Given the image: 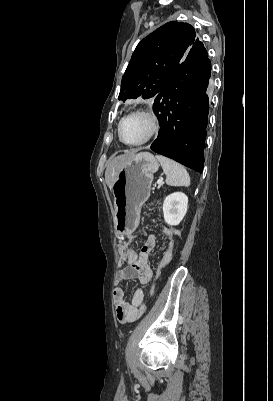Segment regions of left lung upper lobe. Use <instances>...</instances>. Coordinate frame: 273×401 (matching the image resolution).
<instances>
[{"instance_id":"left-lung-upper-lobe-1","label":"left lung upper lobe","mask_w":273,"mask_h":401,"mask_svg":"<svg viewBox=\"0 0 273 401\" xmlns=\"http://www.w3.org/2000/svg\"><path fill=\"white\" fill-rule=\"evenodd\" d=\"M196 40L194 28L177 21L168 22L145 37L136 47L122 77L118 99L155 98Z\"/></svg>"}]
</instances>
